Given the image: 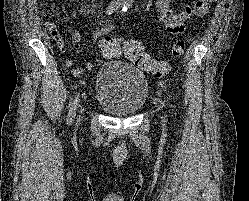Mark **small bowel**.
<instances>
[{
	"label": "small bowel",
	"instance_id": "1",
	"mask_svg": "<svg viewBox=\"0 0 249 201\" xmlns=\"http://www.w3.org/2000/svg\"><path fill=\"white\" fill-rule=\"evenodd\" d=\"M173 0H156L155 9L160 15V21L171 34H181L187 29V22L193 17H202L208 13L210 4L214 0H192L186 4L180 11H174L171 9V3ZM45 28L49 31L52 38L57 43V46L61 52L66 50V46L63 38L55 23L47 21L44 23ZM113 25L105 23L101 25L93 34L92 39L94 41L99 40L103 35L111 32ZM72 37V45L76 52L79 51L81 45V35L79 31L75 29H69ZM101 64L100 59H96L94 62H88L83 68L76 67L72 69L74 76L81 75L83 70L91 71L96 66ZM67 67H73L74 62L71 59L65 61Z\"/></svg>",
	"mask_w": 249,
	"mask_h": 201
}]
</instances>
